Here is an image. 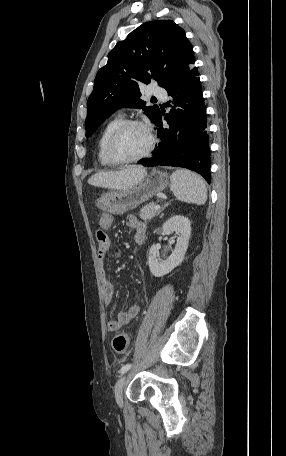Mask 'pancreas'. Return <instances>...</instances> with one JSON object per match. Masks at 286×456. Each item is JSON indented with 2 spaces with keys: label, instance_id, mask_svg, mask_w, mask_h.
Listing matches in <instances>:
<instances>
[{
  "label": "pancreas",
  "instance_id": "obj_1",
  "mask_svg": "<svg viewBox=\"0 0 286 456\" xmlns=\"http://www.w3.org/2000/svg\"><path fill=\"white\" fill-rule=\"evenodd\" d=\"M156 206V203L154 202H151L149 204H147L146 206L142 207L140 209V218L144 221H147V220H151L156 214H157V210L154 209V207Z\"/></svg>",
  "mask_w": 286,
  "mask_h": 456
}]
</instances>
